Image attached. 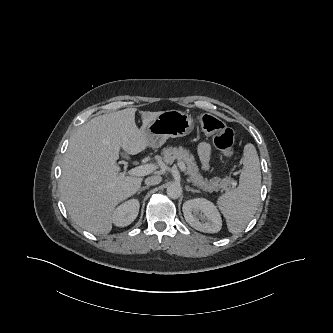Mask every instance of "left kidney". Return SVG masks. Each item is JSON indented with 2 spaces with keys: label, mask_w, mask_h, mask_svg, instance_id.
<instances>
[{
  "label": "left kidney",
  "mask_w": 333,
  "mask_h": 333,
  "mask_svg": "<svg viewBox=\"0 0 333 333\" xmlns=\"http://www.w3.org/2000/svg\"><path fill=\"white\" fill-rule=\"evenodd\" d=\"M185 220L194 229L205 233H217L222 227V218L216 206L204 198H194L183 204Z\"/></svg>",
  "instance_id": "obj_1"
}]
</instances>
